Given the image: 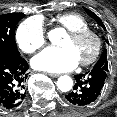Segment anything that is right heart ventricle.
I'll list each match as a JSON object with an SVG mask.
<instances>
[{
  "mask_svg": "<svg viewBox=\"0 0 117 117\" xmlns=\"http://www.w3.org/2000/svg\"><path fill=\"white\" fill-rule=\"evenodd\" d=\"M55 21L67 31H75L89 27L86 18L74 12L58 14L55 16Z\"/></svg>",
  "mask_w": 117,
  "mask_h": 117,
  "instance_id": "right-heart-ventricle-1",
  "label": "right heart ventricle"
}]
</instances>
